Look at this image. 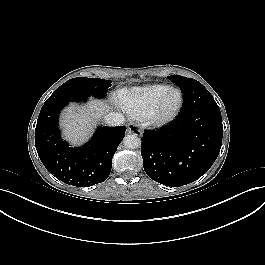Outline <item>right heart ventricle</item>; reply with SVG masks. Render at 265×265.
Returning <instances> with one entry per match:
<instances>
[{
  "mask_svg": "<svg viewBox=\"0 0 265 265\" xmlns=\"http://www.w3.org/2000/svg\"><path fill=\"white\" fill-rule=\"evenodd\" d=\"M168 87L163 84H153L121 90L118 93L119 104L132 118L144 120L154 102Z\"/></svg>",
  "mask_w": 265,
  "mask_h": 265,
  "instance_id": "right-heart-ventricle-1",
  "label": "right heart ventricle"
}]
</instances>
